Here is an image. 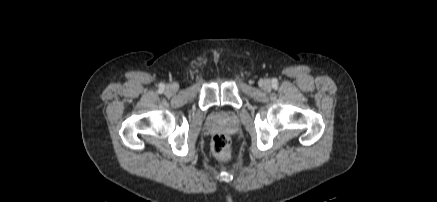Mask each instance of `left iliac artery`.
<instances>
[{
	"label": "left iliac artery",
	"instance_id": "left-iliac-artery-1",
	"mask_svg": "<svg viewBox=\"0 0 437 202\" xmlns=\"http://www.w3.org/2000/svg\"><path fill=\"white\" fill-rule=\"evenodd\" d=\"M273 85H276V80H273Z\"/></svg>",
	"mask_w": 437,
	"mask_h": 202
}]
</instances>
